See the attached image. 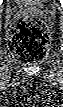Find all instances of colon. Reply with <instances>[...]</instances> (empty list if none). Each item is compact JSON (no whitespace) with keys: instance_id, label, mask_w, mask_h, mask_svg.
Returning <instances> with one entry per match:
<instances>
[{"instance_id":"1","label":"colon","mask_w":63,"mask_h":107,"mask_svg":"<svg viewBox=\"0 0 63 107\" xmlns=\"http://www.w3.org/2000/svg\"><path fill=\"white\" fill-rule=\"evenodd\" d=\"M49 44L50 36L46 25L32 18L23 19L15 24L9 34L10 50L23 62L43 59Z\"/></svg>"}]
</instances>
